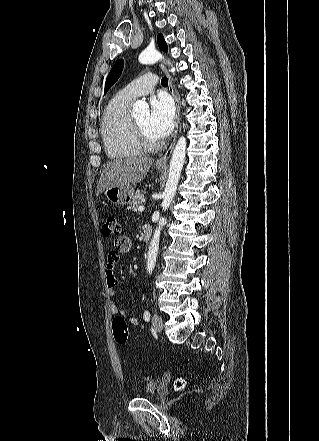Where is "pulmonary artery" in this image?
I'll list each match as a JSON object with an SVG mask.
<instances>
[{
	"instance_id": "pulmonary-artery-1",
	"label": "pulmonary artery",
	"mask_w": 319,
	"mask_h": 441,
	"mask_svg": "<svg viewBox=\"0 0 319 441\" xmlns=\"http://www.w3.org/2000/svg\"><path fill=\"white\" fill-rule=\"evenodd\" d=\"M158 82V78L153 74H145L124 87L119 95L128 99L134 100L140 96L151 93Z\"/></svg>"
}]
</instances>
